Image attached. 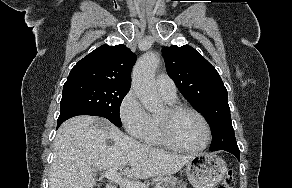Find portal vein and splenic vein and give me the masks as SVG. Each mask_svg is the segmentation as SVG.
<instances>
[{"label": "portal vein and splenic vein", "instance_id": "18ae733b", "mask_svg": "<svg viewBox=\"0 0 292 188\" xmlns=\"http://www.w3.org/2000/svg\"><path fill=\"white\" fill-rule=\"evenodd\" d=\"M117 168H112L104 171V176L110 181L115 182L120 185L122 188H147V186L143 183L132 182L128 179L123 178L117 173ZM155 188H161L159 185L155 186Z\"/></svg>", "mask_w": 292, "mask_h": 188}]
</instances>
